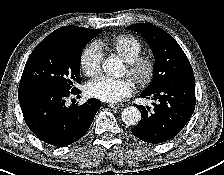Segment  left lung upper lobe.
I'll return each mask as SVG.
<instances>
[{
    "label": "left lung upper lobe",
    "instance_id": "obj_1",
    "mask_svg": "<svg viewBox=\"0 0 224 175\" xmlns=\"http://www.w3.org/2000/svg\"><path fill=\"white\" fill-rule=\"evenodd\" d=\"M128 28L142 34L155 57L154 78L143 92L176 80H194L188 58L171 35L151 23H136Z\"/></svg>",
    "mask_w": 224,
    "mask_h": 175
}]
</instances>
